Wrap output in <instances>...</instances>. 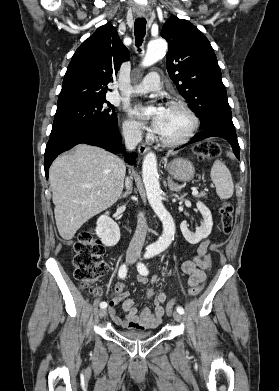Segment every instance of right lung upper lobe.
<instances>
[{"label": "right lung upper lobe", "instance_id": "right-lung-upper-lobe-1", "mask_svg": "<svg viewBox=\"0 0 279 391\" xmlns=\"http://www.w3.org/2000/svg\"><path fill=\"white\" fill-rule=\"evenodd\" d=\"M129 51L111 24L99 27L72 56L64 76L57 109L105 99L107 84L116 78Z\"/></svg>", "mask_w": 279, "mask_h": 391}]
</instances>
